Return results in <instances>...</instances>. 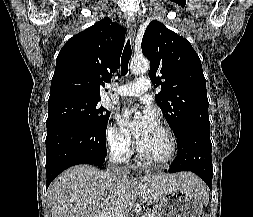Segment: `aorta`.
<instances>
[{
    "instance_id": "762f6f07",
    "label": "aorta",
    "mask_w": 253,
    "mask_h": 217,
    "mask_svg": "<svg viewBox=\"0 0 253 217\" xmlns=\"http://www.w3.org/2000/svg\"><path fill=\"white\" fill-rule=\"evenodd\" d=\"M150 63L146 58H133L130 63L131 73L135 75L143 74L149 70Z\"/></svg>"
}]
</instances>
